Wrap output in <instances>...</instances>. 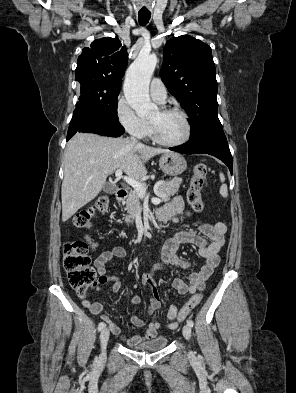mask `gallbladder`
Wrapping results in <instances>:
<instances>
[{
	"instance_id": "obj_1",
	"label": "gallbladder",
	"mask_w": 296,
	"mask_h": 393,
	"mask_svg": "<svg viewBox=\"0 0 296 393\" xmlns=\"http://www.w3.org/2000/svg\"><path fill=\"white\" fill-rule=\"evenodd\" d=\"M117 189L118 187L115 184L108 182L104 185L103 191L107 194H113Z\"/></svg>"
}]
</instances>
